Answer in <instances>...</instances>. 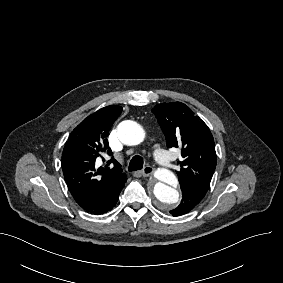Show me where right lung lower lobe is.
<instances>
[{
	"instance_id": "98d812e1",
	"label": "right lung lower lobe",
	"mask_w": 283,
	"mask_h": 283,
	"mask_svg": "<svg viewBox=\"0 0 283 283\" xmlns=\"http://www.w3.org/2000/svg\"><path fill=\"white\" fill-rule=\"evenodd\" d=\"M125 181H123L121 184L116 186L110 193H108L102 200L97 201L91 205L83 206L81 207L85 211L95 214V215H100L104 214L108 211H110L113 207H115L118 199H119V194L122 190V188L125 185Z\"/></svg>"
}]
</instances>
